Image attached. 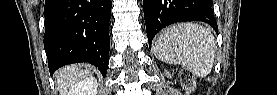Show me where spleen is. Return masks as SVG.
Segmentation results:
<instances>
[{"mask_svg": "<svg viewBox=\"0 0 277 95\" xmlns=\"http://www.w3.org/2000/svg\"><path fill=\"white\" fill-rule=\"evenodd\" d=\"M216 48L209 29L196 23H179L156 39L153 51L163 62L180 64L195 76L206 77L212 70Z\"/></svg>", "mask_w": 277, "mask_h": 95, "instance_id": "3e777b00", "label": "spleen"}]
</instances>
